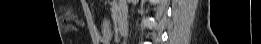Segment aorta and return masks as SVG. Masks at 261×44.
Here are the masks:
<instances>
[{
	"label": "aorta",
	"mask_w": 261,
	"mask_h": 44,
	"mask_svg": "<svg viewBox=\"0 0 261 44\" xmlns=\"http://www.w3.org/2000/svg\"><path fill=\"white\" fill-rule=\"evenodd\" d=\"M137 0H133V5H136Z\"/></svg>",
	"instance_id": "aorta-1"
}]
</instances>
